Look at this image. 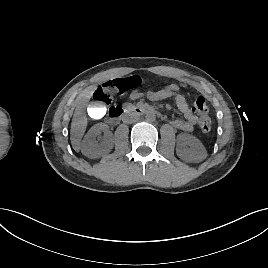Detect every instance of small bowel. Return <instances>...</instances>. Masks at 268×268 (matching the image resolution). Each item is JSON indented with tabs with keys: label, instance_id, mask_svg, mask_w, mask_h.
<instances>
[{
	"label": "small bowel",
	"instance_id": "c3829d8e",
	"mask_svg": "<svg viewBox=\"0 0 268 268\" xmlns=\"http://www.w3.org/2000/svg\"><path fill=\"white\" fill-rule=\"evenodd\" d=\"M173 97L175 99L178 110L182 113L183 119H174L171 125L181 131L190 132L197 124L198 117L190 108L186 96L176 84L162 85L157 89H148L144 91L134 92L130 95L131 99L146 98L151 101H159Z\"/></svg>",
	"mask_w": 268,
	"mask_h": 268
}]
</instances>
